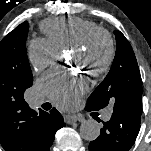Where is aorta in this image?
<instances>
[{"instance_id":"762f6f07","label":"aorta","mask_w":151,"mask_h":151,"mask_svg":"<svg viewBox=\"0 0 151 151\" xmlns=\"http://www.w3.org/2000/svg\"><path fill=\"white\" fill-rule=\"evenodd\" d=\"M100 135V125L94 119L85 120L80 126V136L86 141H93Z\"/></svg>"}]
</instances>
